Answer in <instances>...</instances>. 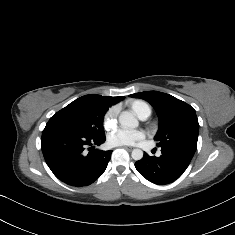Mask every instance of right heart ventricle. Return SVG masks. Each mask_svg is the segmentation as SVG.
Returning <instances> with one entry per match:
<instances>
[{
    "instance_id": "e07e8e85",
    "label": "right heart ventricle",
    "mask_w": 235,
    "mask_h": 235,
    "mask_svg": "<svg viewBox=\"0 0 235 235\" xmlns=\"http://www.w3.org/2000/svg\"><path fill=\"white\" fill-rule=\"evenodd\" d=\"M144 108H150L148 104H146L145 102L143 101H135L133 104H132V109L134 110V112L139 115L142 110Z\"/></svg>"
}]
</instances>
